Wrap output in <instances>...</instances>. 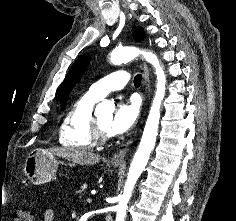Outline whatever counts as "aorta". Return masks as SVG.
Listing matches in <instances>:
<instances>
[{
    "label": "aorta",
    "mask_w": 236,
    "mask_h": 221,
    "mask_svg": "<svg viewBox=\"0 0 236 221\" xmlns=\"http://www.w3.org/2000/svg\"><path fill=\"white\" fill-rule=\"evenodd\" d=\"M140 54L155 68V74L157 76L156 93L139 147L129 167L123 194L120 196L119 203L117 205L116 221H124L133 188L147 165L150 153L155 146L160 120V107L165 96L166 76L155 54L149 51L140 50L136 47H124L114 50L111 53L110 59L113 64L118 65L131 61ZM114 110V103L104 100L97 105L95 115L98 117L103 115H112Z\"/></svg>",
    "instance_id": "aorta-1"
}]
</instances>
